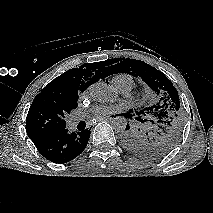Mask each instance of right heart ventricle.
Instances as JSON below:
<instances>
[{"mask_svg":"<svg viewBox=\"0 0 213 213\" xmlns=\"http://www.w3.org/2000/svg\"><path fill=\"white\" fill-rule=\"evenodd\" d=\"M112 83L114 86L129 83L133 87L134 81L133 78L128 74H119L113 77Z\"/></svg>","mask_w":213,"mask_h":213,"instance_id":"obj_1","label":"right heart ventricle"}]
</instances>
